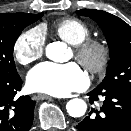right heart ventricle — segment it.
Listing matches in <instances>:
<instances>
[{
	"instance_id": "obj_1",
	"label": "right heart ventricle",
	"mask_w": 131,
	"mask_h": 131,
	"mask_svg": "<svg viewBox=\"0 0 131 131\" xmlns=\"http://www.w3.org/2000/svg\"><path fill=\"white\" fill-rule=\"evenodd\" d=\"M56 35L65 42L75 46L89 38V26L77 18H64L54 24Z\"/></svg>"
}]
</instances>
